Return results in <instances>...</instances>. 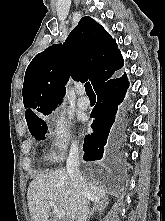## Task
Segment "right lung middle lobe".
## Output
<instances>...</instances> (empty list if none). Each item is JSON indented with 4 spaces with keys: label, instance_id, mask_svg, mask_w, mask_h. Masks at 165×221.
Here are the masks:
<instances>
[{
    "label": "right lung middle lobe",
    "instance_id": "1",
    "mask_svg": "<svg viewBox=\"0 0 165 221\" xmlns=\"http://www.w3.org/2000/svg\"><path fill=\"white\" fill-rule=\"evenodd\" d=\"M51 112H48L44 115H48ZM28 128L30 133L37 139L42 140L45 139L46 133H47V124L44 121V118L41 116L35 119L32 122L28 123Z\"/></svg>",
    "mask_w": 165,
    "mask_h": 221
}]
</instances>
